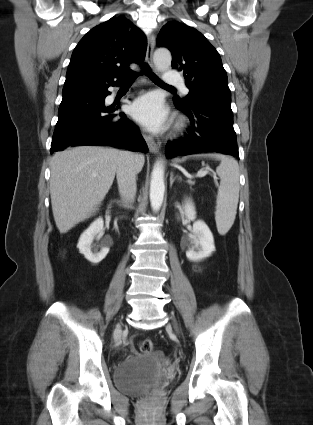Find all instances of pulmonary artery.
<instances>
[{
    "label": "pulmonary artery",
    "instance_id": "1",
    "mask_svg": "<svg viewBox=\"0 0 313 425\" xmlns=\"http://www.w3.org/2000/svg\"><path fill=\"white\" fill-rule=\"evenodd\" d=\"M164 83L168 85H180L184 93H188V89L183 85L182 77L173 70H166L164 74Z\"/></svg>",
    "mask_w": 313,
    "mask_h": 425
}]
</instances>
